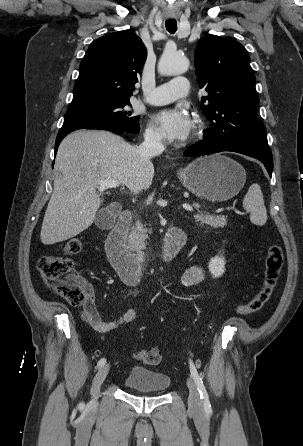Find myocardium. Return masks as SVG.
<instances>
[{
	"label": "myocardium",
	"mask_w": 303,
	"mask_h": 446,
	"mask_svg": "<svg viewBox=\"0 0 303 446\" xmlns=\"http://www.w3.org/2000/svg\"><path fill=\"white\" fill-rule=\"evenodd\" d=\"M197 130L198 129L196 128L195 131H194V135H193L194 137L197 135Z\"/></svg>",
	"instance_id": "myocardium-1"
}]
</instances>
